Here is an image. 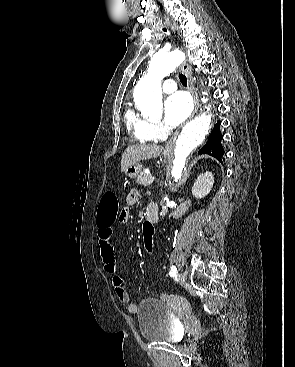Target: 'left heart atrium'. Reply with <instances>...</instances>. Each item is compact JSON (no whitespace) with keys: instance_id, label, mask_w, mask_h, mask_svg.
<instances>
[{"instance_id":"left-heart-atrium-1","label":"left heart atrium","mask_w":295,"mask_h":367,"mask_svg":"<svg viewBox=\"0 0 295 367\" xmlns=\"http://www.w3.org/2000/svg\"><path fill=\"white\" fill-rule=\"evenodd\" d=\"M192 103L185 92L169 96L164 105V121L169 128L181 124L190 114Z\"/></svg>"}]
</instances>
